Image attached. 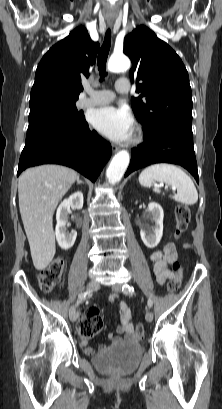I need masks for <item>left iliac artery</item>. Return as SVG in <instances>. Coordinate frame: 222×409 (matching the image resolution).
Segmentation results:
<instances>
[{"label":"left iliac artery","instance_id":"left-iliac-artery-1","mask_svg":"<svg viewBox=\"0 0 222 409\" xmlns=\"http://www.w3.org/2000/svg\"><path fill=\"white\" fill-rule=\"evenodd\" d=\"M122 291H123L125 294L132 295V294L134 293V288H133L132 286L128 285V284H125V285H123V287H122ZM147 305H148L149 308L152 307L153 302H152L151 299L148 300Z\"/></svg>","mask_w":222,"mask_h":409}]
</instances>
